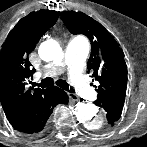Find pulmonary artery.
<instances>
[{
  "instance_id": "pulmonary-artery-1",
  "label": "pulmonary artery",
  "mask_w": 147,
  "mask_h": 147,
  "mask_svg": "<svg viewBox=\"0 0 147 147\" xmlns=\"http://www.w3.org/2000/svg\"><path fill=\"white\" fill-rule=\"evenodd\" d=\"M88 52L89 44L83 37H72L65 48L63 64L69 70L70 80L76 92L85 99L91 100L95 98L96 92L82 75ZM46 71L55 74L58 69L51 66Z\"/></svg>"
}]
</instances>
